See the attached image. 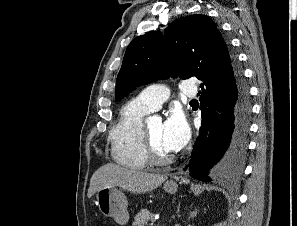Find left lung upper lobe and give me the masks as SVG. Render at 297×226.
<instances>
[{"label": "left lung upper lobe", "mask_w": 297, "mask_h": 226, "mask_svg": "<svg viewBox=\"0 0 297 226\" xmlns=\"http://www.w3.org/2000/svg\"><path fill=\"white\" fill-rule=\"evenodd\" d=\"M234 59L208 16L178 19L164 33L149 32L129 44L117 76L115 100L137 86L169 76H195L206 82L229 75L234 73Z\"/></svg>", "instance_id": "1"}]
</instances>
